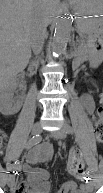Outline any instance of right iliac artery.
Returning <instances> with one entry per match:
<instances>
[{
  "label": "right iliac artery",
  "mask_w": 103,
  "mask_h": 193,
  "mask_svg": "<svg viewBox=\"0 0 103 193\" xmlns=\"http://www.w3.org/2000/svg\"><path fill=\"white\" fill-rule=\"evenodd\" d=\"M42 137L37 134L33 136L26 144V149H30L34 145L38 144L41 141ZM20 170V162H16L13 167V174H17Z\"/></svg>",
  "instance_id": "1"
}]
</instances>
